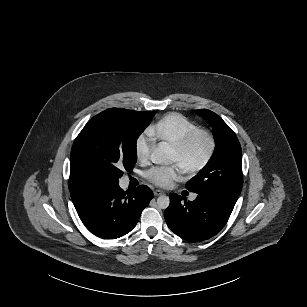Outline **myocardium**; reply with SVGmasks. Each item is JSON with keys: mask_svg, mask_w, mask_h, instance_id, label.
<instances>
[{"mask_svg": "<svg viewBox=\"0 0 307 307\" xmlns=\"http://www.w3.org/2000/svg\"><path fill=\"white\" fill-rule=\"evenodd\" d=\"M204 142L206 146V150L202 156V158L195 164L184 167L186 171L191 174H195L203 170L208 163L213 158L217 141L213 134L206 132V131H199L187 138L185 141L178 145L170 146L171 150L180 156L186 155L189 150L195 146L199 142Z\"/></svg>", "mask_w": 307, "mask_h": 307, "instance_id": "1", "label": "myocardium"}]
</instances>
